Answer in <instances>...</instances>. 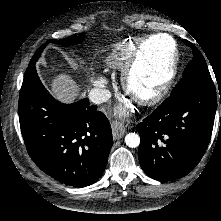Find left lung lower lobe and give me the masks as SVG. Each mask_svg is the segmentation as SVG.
<instances>
[{
  "label": "left lung lower lobe",
  "mask_w": 221,
  "mask_h": 221,
  "mask_svg": "<svg viewBox=\"0 0 221 221\" xmlns=\"http://www.w3.org/2000/svg\"><path fill=\"white\" fill-rule=\"evenodd\" d=\"M217 107L214 83L189 81L137 125L139 162L159 181L190 173L203 157L213 130Z\"/></svg>",
  "instance_id": "left-lung-lower-lobe-1"
}]
</instances>
